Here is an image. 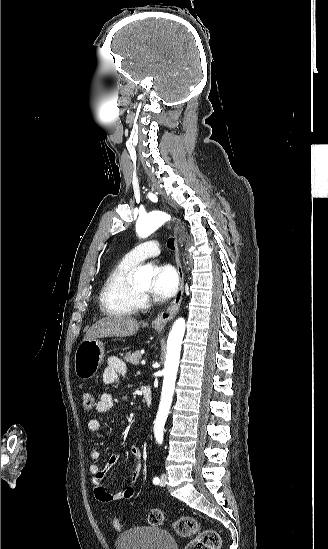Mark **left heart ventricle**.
Wrapping results in <instances>:
<instances>
[{"mask_svg": "<svg viewBox=\"0 0 328 549\" xmlns=\"http://www.w3.org/2000/svg\"><path fill=\"white\" fill-rule=\"evenodd\" d=\"M153 269V268H152ZM136 286L144 293H148L150 290L151 280L142 279L140 281L134 282Z\"/></svg>", "mask_w": 328, "mask_h": 549, "instance_id": "left-heart-ventricle-1", "label": "left heart ventricle"}]
</instances>
